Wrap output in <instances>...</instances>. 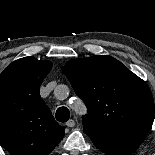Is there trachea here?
<instances>
[{
    "label": "trachea",
    "instance_id": "1",
    "mask_svg": "<svg viewBox=\"0 0 155 155\" xmlns=\"http://www.w3.org/2000/svg\"><path fill=\"white\" fill-rule=\"evenodd\" d=\"M70 117V112L66 107H59L56 111V119L59 122H66Z\"/></svg>",
    "mask_w": 155,
    "mask_h": 155
}]
</instances>
